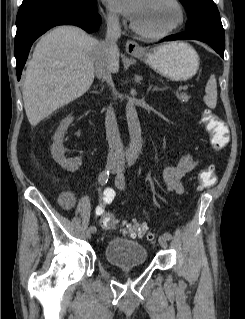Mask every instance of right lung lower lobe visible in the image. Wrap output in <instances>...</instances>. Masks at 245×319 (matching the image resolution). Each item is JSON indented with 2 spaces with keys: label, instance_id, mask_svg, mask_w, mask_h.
Returning a JSON list of instances; mask_svg holds the SVG:
<instances>
[{
  "label": "right lung lower lobe",
  "instance_id": "obj_1",
  "mask_svg": "<svg viewBox=\"0 0 245 319\" xmlns=\"http://www.w3.org/2000/svg\"><path fill=\"white\" fill-rule=\"evenodd\" d=\"M100 23L101 17L97 14L96 0L90 1L88 5L58 2L19 9L14 46L17 79L20 80L22 69L33 42L48 29L56 25L73 24L87 32H93L97 30Z\"/></svg>",
  "mask_w": 245,
  "mask_h": 319
}]
</instances>
